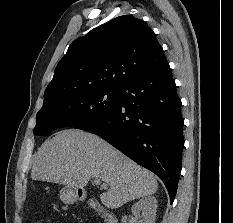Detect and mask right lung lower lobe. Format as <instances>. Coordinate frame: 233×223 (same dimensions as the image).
Masks as SVG:
<instances>
[{"mask_svg": "<svg viewBox=\"0 0 233 223\" xmlns=\"http://www.w3.org/2000/svg\"><path fill=\"white\" fill-rule=\"evenodd\" d=\"M117 107L77 129L97 134L164 182L176 194L184 137L181 101L171 69L162 68L122 86Z\"/></svg>", "mask_w": 233, "mask_h": 223, "instance_id": "98d812e1", "label": "right lung lower lobe"}]
</instances>
